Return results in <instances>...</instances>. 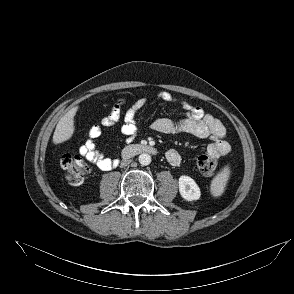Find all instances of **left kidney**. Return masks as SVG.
Wrapping results in <instances>:
<instances>
[{
  "mask_svg": "<svg viewBox=\"0 0 294 294\" xmlns=\"http://www.w3.org/2000/svg\"><path fill=\"white\" fill-rule=\"evenodd\" d=\"M180 195L187 201L198 200L201 196L197 183L189 176L182 175L179 178Z\"/></svg>",
  "mask_w": 294,
  "mask_h": 294,
  "instance_id": "1",
  "label": "left kidney"
}]
</instances>
